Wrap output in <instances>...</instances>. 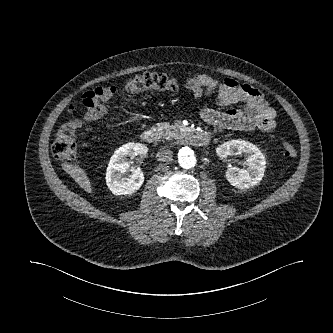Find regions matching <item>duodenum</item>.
Returning <instances> with one entry per match:
<instances>
[{"label":"duodenum","mask_w":333,"mask_h":333,"mask_svg":"<svg viewBox=\"0 0 333 333\" xmlns=\"http://www.w3.org/2000/svg\"><path fill=\"white\" fill-rule=\"evenodd\" d=\"M156 136L157 135L155 131L147 130L141 134V140L145 143H152L153 141H155ZM180 138L185 143L198 147L207 146L210 142V138L208 135L201 133H193L190 131L182 132Z\"/></svg>","instance_id":"410a0bca"}]
</instances>
